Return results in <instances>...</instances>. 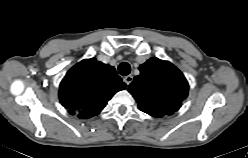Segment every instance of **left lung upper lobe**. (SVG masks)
<instances>
[{"instance_id":"obj_1","label":"left lung upper lobe","mask_w":248,"mask_h":158,"mask_svg":"<svg viewBox=\"0 0 248 158\" xmlns=\"http://www.w3.org/2000/svg\"><path fill=\"white\" fill-rule=\"evenodd\" d=\"M128 91L138 108L153 116L172 114L187 97L189 85L182 72L168 61L151 58L139 67Z\"/></svg>"}]
</instances>
